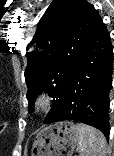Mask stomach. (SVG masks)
Segmentation results:
<instances>
[{"instance_id": "stomach-1", "label": "stomach", "mask_w": 114, "mask_h": 156, "mask_svg": "<svg viewBox=\"0 0 114 156\" xmlns=\"http://www.w3.org/2000/svg\"><path fill=\"white\" fill-rule=\"evenodd\" d=\"M78 139L75 123L65 121L50 125L36 135L31 156H72Z\"/></svg>"}]
</instances>
